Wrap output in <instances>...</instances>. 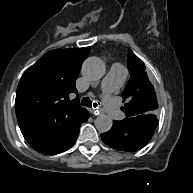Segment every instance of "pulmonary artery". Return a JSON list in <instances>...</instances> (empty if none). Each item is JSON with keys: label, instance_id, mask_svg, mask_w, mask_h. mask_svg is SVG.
<instances>
[{"label": "pulmonary artery", "instance_id": "pulmonary-artery-1", "mask_svg": "<svg viewBox=\"0 0 193 193\" xmlns=\"http://www.w3.org/2000/svg\"><path fill=\"white\" fill-rule=\"evenodd\" d=\"M125 74L124 66L113 64L101 83V88L105 94L102 102L106 106L109 116L114 120L121 119L122 111L118 108L117 102L112 98V95L120 89Z\"/></svg>", "mask_w": 193, "mask_h": 193}]
</instances>
